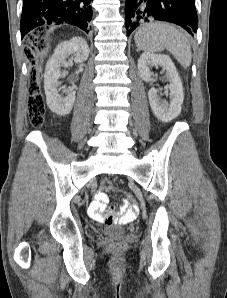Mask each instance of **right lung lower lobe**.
<instances>
[{
	"instance_id": "1",
	"label": "right lung lower lobe",
	"mask_w": 227,
	"mask_h": 298,
	"mask_svg": "<svg viewBox=\"0 0 227 298\" xmlns=\"http://www.w3.org/2000/svg\"><path fill=\"white\" fill-rule=\"evenodd\" d=\"M93 0H23L21 38L34 28L68 23L88 32Z\"/></svg>"
}]
</instances>
